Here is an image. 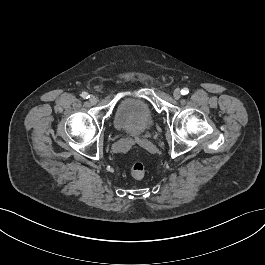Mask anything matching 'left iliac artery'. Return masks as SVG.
<instances>
[{
	"label": "left iliac artery",
	"mask_w": 265,
	"mask_h": 265,
	"mask_svg": "<svg viewBox=\"0 0 265 265\" xmlns=\"http://www.w3.org/2000/svg\"><path fill=\"white\" fill-rule=\"evenodd\" d=\"M188 93H189V90L187 88H184V89L181 90V94L182 95H186Z\"/></svg>",
	"instance_id": "left-iliac-artery-1"
}]
</instances>
